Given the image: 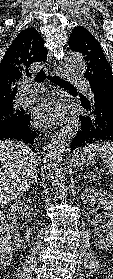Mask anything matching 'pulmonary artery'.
Wrapping results in <instances>:
<instances>
[{
	"label": "pulmonary artery",
	"mask_w": 113,
	"mask_h": 279,
	"mask_svg": "<svg viewBox=\"0 0 113 279\" xmlns=\"http://www.w3.org/2000/svg\"><path fill=\"white\" fill-rule=\"evenodd\" d=\"M71 83L82 86L84 89H88L86 82L77 76H68L67 78ZM43 91V87L39 85H25L24 92L19 97V101L21 103H29L32 102L38 95V93Z\"/></svg>",
	"instance_id": "obj_1"
}]
</instances>
